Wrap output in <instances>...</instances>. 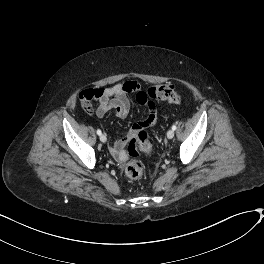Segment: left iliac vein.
Returning a JSON list of instances; mask_svg holds the SVG:
<instances>
[{"instance_id":"4c4485c4","label":"left iliac vein","mask_w":264,"mask_h":264,"mask_svg":"<svg viewBox=\"0 0 264 264\" xmlns=\"http://www.w3.org/2000/svg\"><path fill=\"white\" fill-rule=\"evenodd\" d=\"M174 134H175L174 130H172V129L168 130L167 138L172 139L174 137Z\"/></svg>"}]
</instances>
